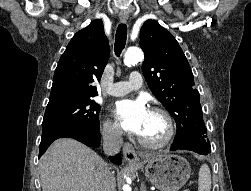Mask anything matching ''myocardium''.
Instances as JSON below:
<instances>
[{"instance_id": "obj_1", "label": "myocardium", "mask_w": 251, "mask_h": 191, "mask_svg": "<svg viewBox=\"0 0 251 191\" xmlns=\"http://www.w3.org/2000/svg\"><path fill=\"white\" fill-rule=\"evenodd\" d=\"M150 112L153 114L160 115L165 120L166 128H167L166 135L163 140L157 143L150 142L146 140L144 137H142L141 135L138 136V141L143 147L148 148V149L164 148L172 142L175 135V125H174L173 118L171 114L163 108L153 107L150 110Z\"/></svg>"}]
</instances>
